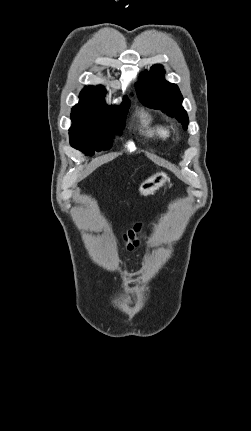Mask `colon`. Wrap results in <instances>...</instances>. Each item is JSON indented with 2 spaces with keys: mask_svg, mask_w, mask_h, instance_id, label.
Returning <instances> with one entry per match:
<instances>
[{
  "mask_svg": "<svg viewBox=\"0 0 251 431\" xmlns=\"http://www.w3.org/2000/svg\"><path fill=\"white\" fill-rule=\"evenodd\" d=\"M142 225L140 223L136 224L133 229H130L125 235V239L129 240L130 243L128 245L129 249H132L137 241L134 240L135 236L141 231Z\"/></svg>",
  "mask_w": 251,
  "mask_h": 431,
  "instance_id": "5ec220e1",
  "label": "colon"
}]
</instances>
